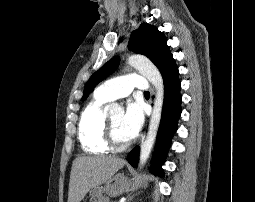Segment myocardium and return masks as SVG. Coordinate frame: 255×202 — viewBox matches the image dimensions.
Instances as JSON below:
<instances>
[{
  "instance_id": "1",
  "label": "myocardium",
  "mask_w": 255,
  "mask_h": 202,
  "mask_svg": "<svg viewBox=\"0 0 255 202\" xmlns=\"http://www.w3.org/2000/svg\"><path fill=\"white\" fill-rule=\"evenodd\" d=\"M134 137L128 141L120 142L117 140L114 132V127L110 116H106L105 127H104V140L110 150L113 151H124L131 146L134 142Z\"/></svg>"
}]
</instances>
